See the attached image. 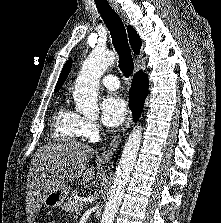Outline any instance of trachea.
I'll use <instances>...</instances> for the list:
<instances>
[{
	"mask_svg": "<svg viewBox=\"0 0 221 223\" xmlns=\"http://www.w3.org/2000/svg\"><path fill=\"white\" fill-rule=\"evenodd\" d=\"M95 4L110 31L114 48L119 55V68L128 78L133 72L134 63L124 24L106 0H95Z\"/></svg>",
	"mask_w": 221,
	"mask_h": 223,
	"instance_id": "1",
	"label": "trachea"
}]
</instances>
